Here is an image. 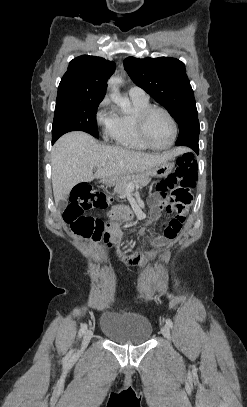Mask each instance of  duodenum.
Listing matches in <instances>:
<instances>
[{"label": "duodenum", "mask_w": 247, "mask_h": 407, "mask_svg": "<svg viewBox=\"0 0 247 407\" xmlns=\"http://www.w3.org/2000/svg\"><path fill=\"white\" fill-rule=\"evenodd\" d=\"M133 210H114L110 215L111 222H130L133 218Z\"/></svg>", "instance_id": "410a0bca"}]
</instances>
